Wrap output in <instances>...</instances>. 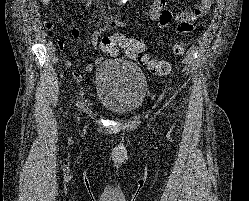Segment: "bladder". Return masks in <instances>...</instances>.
Returning a JSON list of instances; mask_svg holds the SVG:
<instances>
[{
    "mask_svg": "<svg viewBox=\"0 0 249 201\" xmlns=\"http://www.w3.org/2000/svg\"><path fill=\"white\" fill-rule=\"evenodd\" d=\"M97 99L115 114L125 116L137 111L147 94L145 74L123 57L104 59L96 73Z\"/></svg>",
    "mask_w": 249,
    "mask_h": 201,
    "instance_id": "bladder-1",
    "label": "bladder"
}]
</instances>
